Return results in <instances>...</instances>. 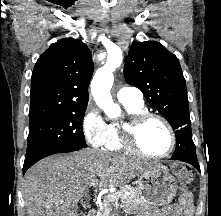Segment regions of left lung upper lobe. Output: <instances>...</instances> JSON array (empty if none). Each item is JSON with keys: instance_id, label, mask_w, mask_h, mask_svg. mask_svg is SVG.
<instances>
[{"instance_id": "obj_1", "label": "left lung upper lobe", "mask_w": 221, "mask_h": 216, "mask_svg": "<svg viewBox=\"0 0 221 216\" xmlns=\"http://www.w3.org/2000/svg\"><path fill=\"white\" fill-rule=\"evenodd\" d=\"M128 84L139 88L175 130L176 144L192 147L185 79L178 58L155 41L134 42L124 66Z\"/></svg>"}]
</instances>
